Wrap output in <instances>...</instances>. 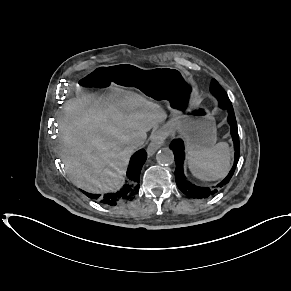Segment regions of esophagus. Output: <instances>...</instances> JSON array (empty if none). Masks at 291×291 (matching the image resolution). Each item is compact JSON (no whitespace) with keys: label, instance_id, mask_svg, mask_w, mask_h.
I'll return each mask as SVG.
<instances>
[{"label":"esophagus","instance_id":"34e87169","mask_svg":"<svg viewBox=\"0 0 291 291\" xmlns=\"http://www.w3.org/2000/svg\"><path fill=\"white\" fill-rule=\"evenodd\" d=\"M167 137V132L164 129L157 130L148 145L147 152L149 155H153L164 143Z\"/></svg>","mask_w":291,"mask_h":291}]
</instances>
